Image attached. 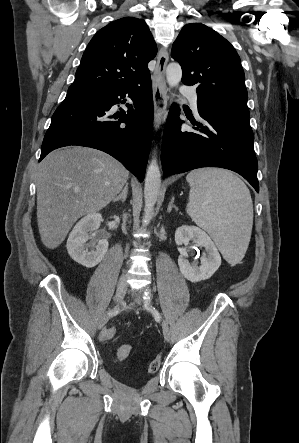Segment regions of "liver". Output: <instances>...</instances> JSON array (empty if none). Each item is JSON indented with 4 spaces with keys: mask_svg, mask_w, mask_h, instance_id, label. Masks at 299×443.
I'll return each mask as SVG.
<instances>
[{
    "mask_svg": "<svg viewBox=\"0 0 299 443\" xmlns=\"http://www.w3.org/2000/svg\"><path fill=\"white\" fill-rule=\"evenodd\" d=\"M128 177L120 162L95 149L77 146L48 154L36 175L42 243L49 249L58 247L77 219L107 206Z\"/></svg>",
    "mask_w": 299,
    "mask_h": 443,
    "instance_id": "liver-1",
    "label": "liver"
}]
</instances>
